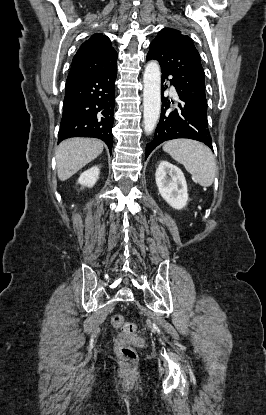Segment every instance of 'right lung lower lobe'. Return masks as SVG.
<instances>
[{"label": "right lung lower lobe", "mask_w": 266, "mask_h": 415, "mask_svg": "<svg viewBox=\"0 0 266 415\" xmlns=\"http://www.w3.org/2000/svg\"><path fill=\"white\" fill-rule=\"evenodd\" d=\"M116 75L117 66L66 82L58 143L70 137H96L111 151Z\"/></svg>", "instance_id": "right-lung-lower-lobe-1"}]
</instances>
